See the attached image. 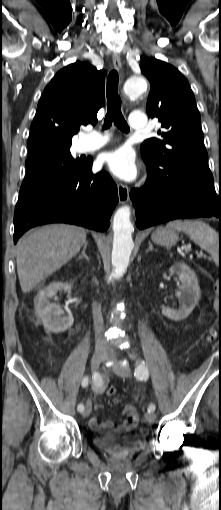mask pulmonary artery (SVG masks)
<instances>
[{
	"label": "pulmonary artery",
	"instance_id": "obj_1",
	"mask_svg": "<svg viewBox=\"0 0 221 510\" xmlns=\"http://www.w3.org/2000/svg\"><path fill=\"white\" fill-rule=\"evenodd\" d=\"M129 124L133 129L143 130L146 126V117L141 112H133L130 115ZM107 141V135H103L99 132H92L88 134L83 148L85 151L96 150L105 145Z\"/></svg>",
	"mask_w": 221,
	"mask_h": 510
}]
</instances>
